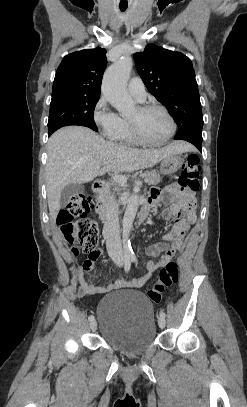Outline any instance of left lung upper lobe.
Here are the masks:
<instances>
[{
  "instance_id": "5c2ea615",
  "label": "left lung upper lobe",
  "mask_w": 247,
  "mask_h": 407,
  "mask_svg": "<svg viewBox=\"0 0 247 407\" xmlns=\"http://www.w3.org/2000/svg\"><path fill=\"white\" fill-rule=\"evenodd\" d=\"M136 68L148 91L170 112L180 134L201 129L203 116L191 60L182 53L149 44L134 54Z\"/></svg>"
}]
</instances>
